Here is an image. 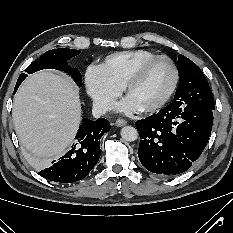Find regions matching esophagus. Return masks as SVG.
Here are the masks:
<instances>
[{"mask_svg": "<svg viewBox=\"0 0 233 233\" xmlns=\"http://www.w3.org/2000/svg\"><path fill=\"white\" fill-rule=\"evenodd\" d=\"M115 124L118 127H122V126H125L127 124V121L124 120V119H117L116 122H115Z\"/></svg>", "mask_w": 233, "mask_h": 233, "instance_id": "34e87169", "label": "esophagus"}]
</instances>
